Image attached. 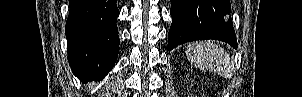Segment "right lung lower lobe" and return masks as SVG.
Returning a JSON list of instances; mask_svg holds the SVG:
<instances>
[{
	"mask_svg": "<svg viewBox=\"0 0 302 97\" xmlns=\"http://www.w3.org/2000/svg\"><path fill=\"white\" fill-rule=\"evenodd\" d=\"M117 0H69L66 22L68 61L83 81L104 77L116 62L119 37Z\"/></svg>",
	"mask_w": 302,
	"mask_h": 97,
	"instance_id": "1",
	"label": "right lung lower lobe"
}]
</instances>
